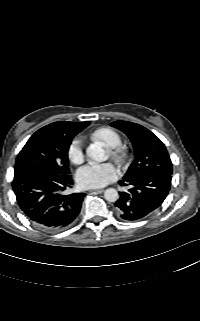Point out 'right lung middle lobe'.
<instances>
[{
	"label": "right lung middle lobe",
	"instance_id": "dd1d6c3e",
	"mask_svg": "<svg viewBox=\"0 0 200 321\" xmlns=\"http://www.w3.org/2000/svg\"><path fill=\"white\" fill-rule=\"evenodd\" d=\"M78 128L68 136L54 134L48 126L35 132L18 154L15 169L26 165H45L57 174H70L68 149Z\"/></svg>",
	"mask_w": 200,
	"mask_h": 321
}]
</instances>
